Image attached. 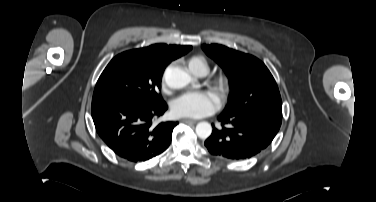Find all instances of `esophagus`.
<instances>
[{
  "label": "esophagus",
  "instance_id": "esophagus-1",
  "mask_svg": "<svg viewBox=\"0 0 376 202\" xmlns=\"http://www.w3.org/2000/svg\"><path fill=\"white\" fill-rule=\"evenodd\" d=\"M182 122L188 123V124H195L196 120H191V119H183Z\"/></svg>",
  "mask_w": 376,
  "mask_h": 202
}]
</instances>
